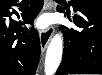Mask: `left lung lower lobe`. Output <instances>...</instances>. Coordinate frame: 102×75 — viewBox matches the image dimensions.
Wrapping results in <instances>:
<instances>
[{
	"label": "left lung lower lobe",
	"instance_id": "left-lung-lower-lobe-1",
	"mask_svg": "<svg viewBox=\"0 0 102 75\" xmlns=\"http://www.w3.org/2000/svg\"><path fill=\"white\" fill-rule=\"evenodd\" d=\"M79 12L81 16L76 15L72 19L83 30L60 26L64 52L56 75L102 74V10L81 9ZM69 15L67 12L70 19Z\"/></svg>",
	"mask_w": 102,
	"mask_h": 75
}]
</instances>
